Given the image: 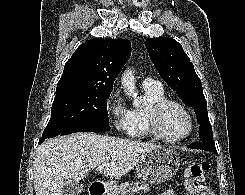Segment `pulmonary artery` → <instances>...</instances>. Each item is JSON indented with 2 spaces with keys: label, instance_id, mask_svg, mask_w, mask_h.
Listing matches in <instances>:
<instances>
[{
  "label": "pulmonary artery",
  "instance_id": "obj_1",
  "mask_svg": "<svg viewBox=\"0 0 245 195\" xmlns=\"http://www.w3.org/2000/svg\"><path fill=\"white\" fill-rule=\"evenodd\" d=\"M142 87L144 89L147 88H162V84L158 80H154L152 78H146L142 81Z\"/></svg>",
  "mask_w": 245,
  "mask_h": 195
}]
</instances>
